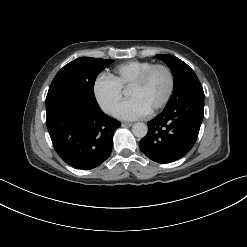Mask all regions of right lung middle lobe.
<instances>
[{"label":"right lung middle lobe","mask_w":247,"mask_h":247,"mask_svg":"<svg viewBox=\"0 0 247 247\" xmlns=\"http://www.w3.org/2000/svg\"><path fill=\"white\" fill-rule=\"evenodd\" d=\"M113 60L81 57L66 64L54 77L46 97V106L62 99H79L98 105L94 83L98 74Z\"/></svg>","instance_id":"1"}]
</instances>
